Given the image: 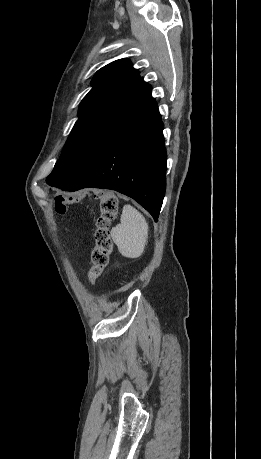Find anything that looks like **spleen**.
Masks as SVG:
<instances>
[{
	"label": "spleen",
	"instance_id": "spleen-1",
	"mask_svg": "<svg viewBox=\"0 0 261 459\" xmlns=\"http://www.w3.org/2000/svg\"><path fill=\"white\" fill-rule=\"evenodd\" d=\"M111 236L122 256L138 258L145 250L148 223L137 209L126 204L123 207L121 223L112 228Z\"/></svg>",
	"mask_w": 261,
	"mask_h": 459
}]
</instances>
